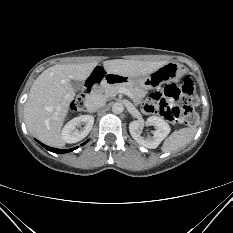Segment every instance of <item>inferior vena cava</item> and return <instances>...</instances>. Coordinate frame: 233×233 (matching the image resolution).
I'll list each match as a JSON object with an SVG mask.
<instances>
[{
  "label": "inferior vena cava",
  "instance_id": "inferior-vena-cava-1",
  "mask_svg": "<svg viewBox=\"0 0 233 233\" xmlns=\"http://www.w3.org/2000/svg\"><path fill=\"white\" fill-rule=\"evenodd\" d=\"M106 99L98 94H89L86 96L84 104L87 110L95 111L98 108L104 106Z\"/></svg>",
  "mask_w": 233,
  "mask_h": 233
}]
</instances>
